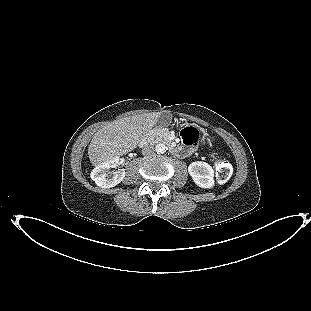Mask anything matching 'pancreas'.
<instances>
[{
    "instance_id": "1",
    "label": "pancreas",
    "mask_w": 311,
    "mask_h": 311,
    "mask_svg": "<svg viewBox=\"0 0 311 311\" xmlns=\"http://www.w3.org/2000/svg\"><path fill=\"white\" fill-rule=\"evenodd\" d=\"M169 136H170V133H169L168 130H166V129H161V130L159 131V137H160L161 139H164V140H166V141H169Z\"/></svg>"
}]
</instances>
